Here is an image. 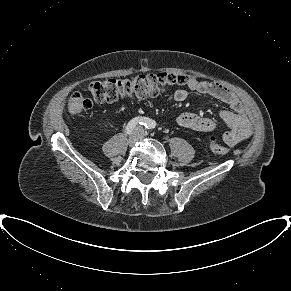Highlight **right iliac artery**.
<instances>
[{"mask_svg": "<svg viewBox=\"0 0 291 291\" xmlns=\"http://www.w3.org/2000/svg\"><path fill=\"white\" fill-rule=\"evenodd\" d=\"M149 119L146 117H135L133 118L128 125L126 126V134H131L134 128L139 124L145 126L148 123Z\"/></svg>", "mask_w": 291, "mask_h": 291, "instance_id": "right-iliac-artery-1", "label": "right iliac artery"}]
</instances>
